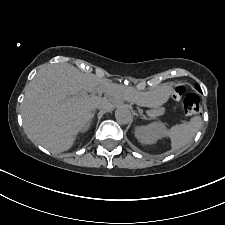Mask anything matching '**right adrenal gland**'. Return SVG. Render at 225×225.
<instances>
[{
  "instance_id": "2a0ac1e0",
  "label": "right adrenal gland",
  "mask_w": 225,
  "mask_h": 225,
  "mask_svg": "<svg viewBox=\"0 0 225 225\" xmlns=\"http://www.w3.org/2000/svg\"><path fill=\"white\" fill-rule=\"evenodd\" d=\"M94 116H95V111H93V113H92V118H91V120H90V121L87 123V125L84 127V129H83L84 132L87 131V130L89 129V127H90V125H91V123H92V120H93Z\"/></svg>"
}]
</instances>
